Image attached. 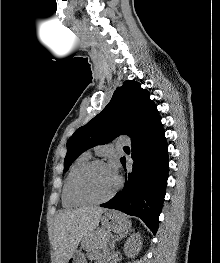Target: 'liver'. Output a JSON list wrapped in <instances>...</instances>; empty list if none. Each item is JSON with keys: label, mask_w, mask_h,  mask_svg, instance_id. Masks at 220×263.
Masks as SVG:
<instances>
[{"label": "liver", "mask_w": 220, "mask_h": 263, "mask_svg": "<svg viewBox=\"0 0 220 263\" xmlns=\"http://www.w3.org/2000/svg\"><path fill=\"white\" fill-rule=\"evenodd\" d=\"M105 208L86 206L62 210L54 220V249L56 263H67L79 243L98 226Z\"/></svg>", "instance_id": "1"}]
</instances>
